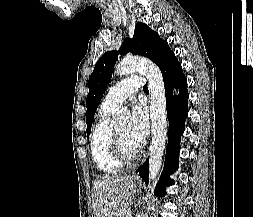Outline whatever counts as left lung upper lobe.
Instances as JSON below:
<instances>
[{"label":"left lung upper lobe","mask_w":253,"mask_h":217,"mask_svg":"<svg viewBox=\"0 0 253 217\" xmlns=\"http://www.w3.org/2000/svg\"><path fill=\"white\" fill-rule=\"evenodd\" d=\"M128 52L151 59L160 69L168 60L175 56L174 52L170 50L168 43L161 39L157 32L151 30L146 24L137 23L133 38H125L119 51L105 53L97 61L89 77V93L86 98L87 137L90 134L97 106L106 90L107 84L112 78V72L118 55Z\"/></svg>","instance_id":"1"}]
</instances>
